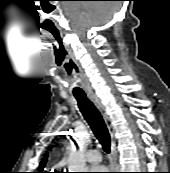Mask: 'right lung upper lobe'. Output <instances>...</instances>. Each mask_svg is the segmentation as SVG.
Returning <instances> with one entry per match:
<instances>
[{"label": "right lung upper lobe", "mask_w": 170, "mask_h": 173, "mask_svg": "<svg viewBox=\"0 0 170 173\" xmlns=\"http://www.w3.org/2000/svg\"><path fill=\"white\" fill-rule=\"evenodd\" d=\"M47 161V154L45 155V157L43 158V160L41 161L40 165H39V173H43L42 170L46 164Z\"/></svg>", "instance_id": "cb5924a9"}]
</instances>
